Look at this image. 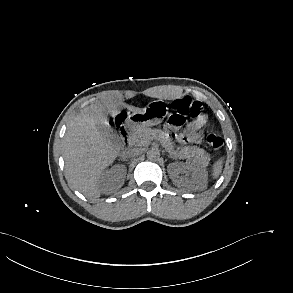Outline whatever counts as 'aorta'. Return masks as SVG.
Instances as JSON below:
<instances>
[{
	"instance_id": "1",
	"label": "aorta",
	"mask_w": 293,
	"mask_h": 293,
	"mask_svg": "<svg viewBox=\"0 0 293 293\" xmlns=\"http://www.w3.org/2000/svg\"><path fill=\"white\" fill-rule=\"evenodd\" d=\"M147 158L151 161H157L160 158V152L152 148L147 152Z\"/></svg>"
}]
</instances>
